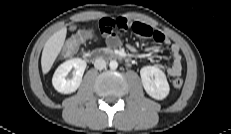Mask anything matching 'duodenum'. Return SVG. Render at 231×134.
I'll list each match as a JSON object with an SVG mask.
<instances>
[{
    "label": "duodenum",
    "instance_id": "obj_1",
    "mask_svg": "<svg viewBox=\"0 0 231 134\" xmlns=\"http://www.w3.org/2000/svg\"><path fill=\"white\" fill-rule=\"evenodd\" d=\"M103 57H108L111 59H125L121 53L108 49L92 51L86 55V59L89 61H96Z\"/></svg>",
    "mask_w": 231,
    "mask_h": 134
}]
</instances>
